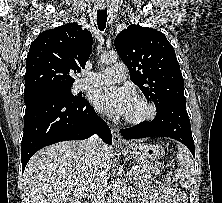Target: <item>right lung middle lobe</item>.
I'll return each instance as SVG.
<instances>
[{"mask_svg": "<svg viewBox=\"0 0 222 203\" xmlns=\"http://www.w3.org/2000/svg\"><path fill=\"white\" fill-rule=\"evenodd\" d=\"M43 99H60L67 102H77L81 97L73 96L71 86L53 87L24 93L25 104Z\"/></svg>", "mask_w": 222, "mask_h": 203, "instance_id": "right-lung-middle-lobe-1", "label": "right lung middle lobe"}]
</instances>
